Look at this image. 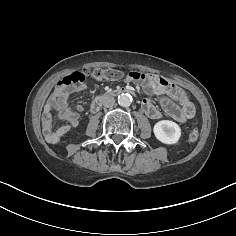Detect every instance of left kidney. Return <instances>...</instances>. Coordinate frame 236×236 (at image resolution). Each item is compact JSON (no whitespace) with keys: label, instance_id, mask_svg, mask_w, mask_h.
Masks as SVG:
<instances>
[{"label":"left kidney","instance_id":"1","mask_svg":"<svg viewBox=\"0 0 236 236\" xmlns=\"http://www.w3.org/2000/svg\"><path fill=\"white\" fill-rule=\"evenodd\" d=\"M155 137L164 144H175L181 137V129L173 121L162 120L154 125Z\"/></svg>","mask_w":236,"mask_h":236}]
</instances>
